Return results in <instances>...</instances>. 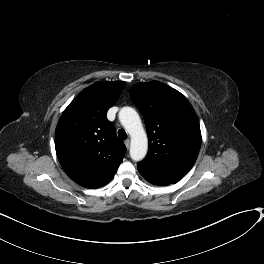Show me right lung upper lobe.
<instances>
[{
  "mask_svg": "<svg viewBox=\"0 0 264 264\" xmlns=\"http://www.w3.org/2000/svg\"><path fill=\"white\" fill-rule=\"evenodd\" d=\"M124 86L123 81L94 83L78 94L58 121V160L66 174L83 187L96 189L109 183L126 153L106 118Z\"/></svg>",
  "mask_w": 264,
  "mask_h": 264,
  "instance_id": "1",
  "label": "right lung upper lobe"
}]
</instances>
